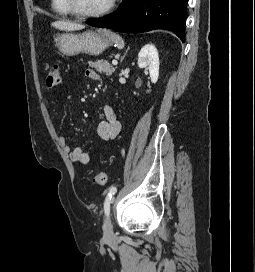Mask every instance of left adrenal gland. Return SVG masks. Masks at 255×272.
Masks as SVG:
<instances>
[{
    "mask_svg": "<svg viewBox=\"0 0 255 272\" xmlns=\"http://www.w3.org/2000/svg\"><path fill=\"white\" fill-rule=\"evenodd\" d=\"M129 48L126 50V52L124 53L123 57L121 58V62L123 61V59L125 58L126 53L128 52Z\"/></svg>",
    "mask_w": 255,
    "mask_h": 272,
    "instance_id": "1",
    "label": "left adrenal gland"
}]
</instances>
